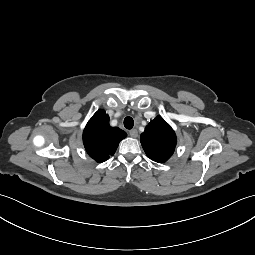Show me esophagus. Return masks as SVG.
I'll return each mask as SVG.
<instances>
[{
	"instance_id": "obj_1",
	"label": "esophagus",
	"mask_w": 255,
	"mask_h": 255,
	"mask_svg": "<svg viewBox=\"0 0 255 255\" xmlns=\"http://www.w3.org/2000/svg\"><path fill=\"white\" fill-rule=\"evenodd\" d=\"M131 137L136 138L138 136V131L136 129H132L129 131Z\"/></svg>"
}]
</instances>
